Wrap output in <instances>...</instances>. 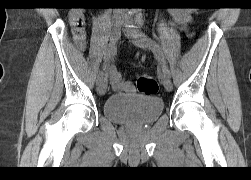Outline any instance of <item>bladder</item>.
<instances>
[{"label": "bladder", "instance_id": "1", "mask_svg": "<svg viewBox=\"0 0 251 180\" xmlns=\"http://www.w3.org/2000/svg\"><path fill=\"white\" fill-rule=\"evenodd\" d=\"M163 109L164 102L157 96L113 94L104 102L103 114L114 123L145 125L156 121Z\"/></svg>", "mask_w": 251, "mask_h": 180}]
</instances>
